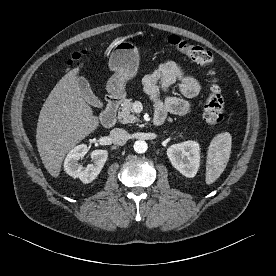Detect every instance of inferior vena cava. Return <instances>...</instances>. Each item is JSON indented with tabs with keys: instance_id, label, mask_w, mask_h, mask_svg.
<instances>
[{
	"instance_id": "1",
	"label": "inferior vena cava",
	"mask_w": 276,
	"mask_h": 276,
	"mask_svg": "<svg viewBox=\"0 0 276 276\" xmlns=\"http://www.w3.org/2000/svg\"><path fill=\"white\" fill-rule=\"evenodd\" d=\"M111 141L115 145H125L128 141L127 132L120 128L112 129L110 132Z\"/></svg>"
}]
</instances>
